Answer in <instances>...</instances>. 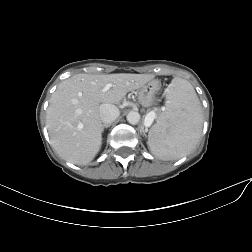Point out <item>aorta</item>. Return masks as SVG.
Segmentation results:
<instances>
[{"mask_svg":"<svg viewBox=\"0 0 252 252\" xmlns=\"http://www.w3.org/2000/svg\"><path fill=\"white\" fill-rule=\"evenodd\" d=\"M127 121L132 124V125H135L139 122L140 120V114L136 111H130L127 116Z\"/></svg>","mask_w":252,"mask_h":252,"instance_id":"762f6f07","label":"aorta"}]
</instances>
